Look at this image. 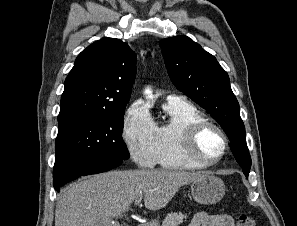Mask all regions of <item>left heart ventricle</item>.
Wrapping results in <instances>:
<instances>
[{
  "instance_id": "b2bd125f",
  "label": "left heart ventricle",
  "mask_w": 297,
  "mask_h": 226,
  "mask_svg": "<svg viewBox=\"0 0 297 226\" xmlns=\"http://www.w3.org/2000/svg\"><path fill=\"white\" fill-rule=\"evenodd\" d=\"M221 147V137L214 129L209 128L200 135L198 140V151L203 157L207 159L217 157Z\"/></svg>"
}]
</instances>
